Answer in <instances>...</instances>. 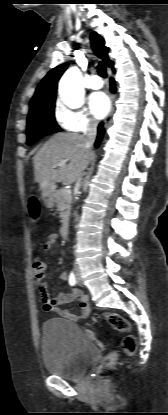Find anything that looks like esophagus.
I'll use <instances>...</instances> for the list:
<instances>
[{
    "mask_svg": "<svg viewBox=\"0 0 168 415\" xmlns=\"http://www.w3.org/2000/svg\"><path fill=\"white\" fill-rule=\"evenodd\" d=\"M112 114H113V108H112V110H111V112H110V114H109V116L106 118V120H105V125H108L109 123H110V121H111V117H112Z\"/></svg>",
    "mask_w": 168,
    "mask_h": 415,
    "instance_id": "esophagus-1",
    "label": "esophagus"
}]
</instances>
